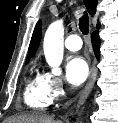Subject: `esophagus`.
<instances>
[{
	"mask_svg": "<svg viewBox=\"0 0 118 123\" xmlns=\"http://www.w3.org/2000/svg\"><path fill=\"white\" fill-rule=\"evenodd\" d=\"M96 76H97V70H96L95 64H93L90 71L89 80L86 86L84 87V89L78 95V107H80L87 99L89 93L91 92L94 86Z\"/></svg>",
	"mask_w": 118,
	"mask_h": 123,
	"instance_id": "34e87169",
	"label": "esophagus"
}]
</instances>
